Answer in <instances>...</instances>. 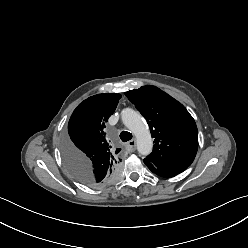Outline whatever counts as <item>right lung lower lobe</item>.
I'll use <instances>...</instances> for the list:
<instances>
[{
  "mask_svg": "<svg viewBox=\"0 0 248 248\" xmlns=\"http://www.w3.org/2000/svg\"><path fill=\"white\" fill-rule=\"evenodd\" d=\"M66 166L72 170H75L77 169V167L75 166V164L73 163V161L71 159H65L64 160ZM83 175H82V183H85V184H88V185H91L92 182L90 181V179L88 178L87 174H85L84 172H82ZM97 178H100V177H97ZM104 179V177L102 178ZM107 178L104 179V181L106 180Z\"/></svg>",
  "mask_w": 248,
  "mask_h": 248,
  "instance_id": "right-lung-lower-lobe-1",
  "label": "right lung lower lobe"
}]
</instances>
